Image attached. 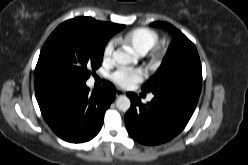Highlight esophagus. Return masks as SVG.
<instances>
[{"label":"esophagus","mask_w":248,"mask_h":165,"mask_svg":"<svg viewBox=\"0 0 248 165\" xmlns=\"http://www.w3.org/2000/svg\"><path fill=\"white\" fill-rule=\"evenodd\" d=\"M125 94V92L122 90V89H117L116 90V96L117 97H119V96H121V95H124Z\"/></svg>","instance_id":"esophagus-1"}]
</instances>
